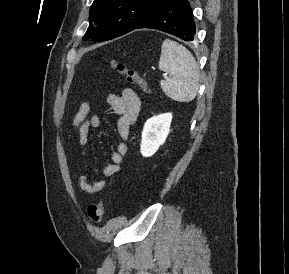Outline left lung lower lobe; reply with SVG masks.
Here are the masks:
<instances>
[{
	"mask_svg": "<svg viewBox=\"0 0 289 274\" xmlns=\"http://www.w3.org/2000/svg\"><path fill=\"white\" fill-rule=\"evenodd\" d=\"M150 28L160 30L193 41L196 27L188 0H166L135 29Z\"/></svg>",
	"mask_w": 289,
	"mask_h": 274,
	"instance_id": "0a47b994",
	"label": "left lung lower lobe"
}]
</instances>
